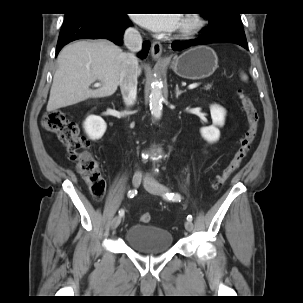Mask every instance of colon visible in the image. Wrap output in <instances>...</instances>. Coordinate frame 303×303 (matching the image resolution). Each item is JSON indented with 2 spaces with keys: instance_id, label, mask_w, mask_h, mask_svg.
I'll return each mask as SVG.
<instances>
[{
  "instance_id": "obj_1",
  "label": "colon",
  "mask_w": 303,
  "mask_h": 303,
  "mask_svg": "<svg viewBox=\"0 0 303 303\" xmlns=\"http://www.w3.org/2000/svg\"><path fill=\"white\" fill-rule=\"evenodd\" d=\"M237 95L246 113L248 128L241 138L237 150L218 176V185L225 183L240 167L247 157L259 129V114L253 101L241 88L237 90ZM42 125L48 132L56 134L59 141L66 146L69 157L76 162L77 171L88 182L92 197L97 201L101 200L105 193V181L99 172L98 160L89 151L88 142L80 137L77 125L69 121L60 110L46 113ZM139 220L143 223L149 222L150 213H141Z\"/></svg>"
}]
</instances>
